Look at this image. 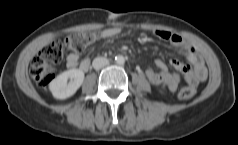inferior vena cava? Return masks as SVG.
Segmentation results:
<instances>
[{
	"label": "inferior vena cava",
	"mask_w": 238,
	"mask_h": 145,
	"mask_svg": "<svg viewBox=\"0 0 238 145\" xmlns=\"http://www.w3.org/2000/svg\"><path fill=\"white\" fill-rule=\"evenodd\" d=\"M108 64H109V60L105 57H96L92 62V66L95 70L102 69Z\"/></svg>",
	"instance_id": "obj_1"
}]
</instances>
